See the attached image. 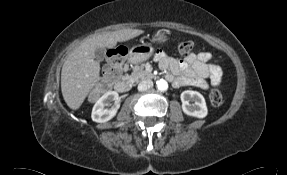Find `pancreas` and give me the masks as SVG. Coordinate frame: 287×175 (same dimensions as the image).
<instances>
[{
	"instance_id": "1",
	"label": "pancreas",
	"mask_w": 287,
	"mask_h": 175,
	"mask_svg": "<svg viewBox=\"0 0 287 175\" xmlns=\"http://www.w3.org/2000/svg\"><path fill=\"white\" fill-rule=\"evenodd\" d=\"M150 76L151 74L144 69L143 65H141V66H135L133 72L131 73L130 76H128V78L133 81H140L149 78Z\"/></svg>"
}]
</instances>
